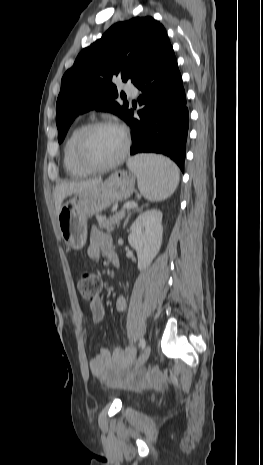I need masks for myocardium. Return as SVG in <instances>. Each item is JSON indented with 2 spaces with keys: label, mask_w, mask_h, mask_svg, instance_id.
Wrapping results in <instances>:
<instances>
[{
  "label": "myocardium",
  "mask_w": 263,
  "mask_h": 465,
  "mask_svg": "<svg viewBox=\"0 0 263 465\" xmlns=\"http://www.w3.org/2000/svg\"><path fill=\"white\" fill-rule=\"evenodd\" d=\"M110 127L119 130L123 137V148L120 154L111 162L96 164L91 162L86 155V141L88 136L96 129ZM130 148V138L126 129L111 120H97L86 124L79 132L75 142V157L77 162L89 172H103L120 165L126 158Z\"/></svg>",
  "instance_id": "myocardium-1"
}]
</instances>
